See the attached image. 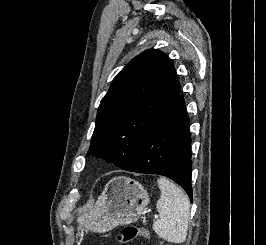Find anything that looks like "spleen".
Segmentation results:
<instances>
[{
    "label": "spleen",
    "instance_id": "spleen-1",
    "mask_svg": "<svg viewBox=\"0 0 266 245\" xmlns=\"http://www.w3.org/2000/svg\"><path fill=\"white\" fill-rule=\"evenodd\" d=\"M157 183L161 191L160 199L156 203L159 215L152 229L160 239L168 243H184L190 219L189 199L182 189L166 177H160Z\"/></svg>",
    "mask_w": 266,
    "mask_h": 245
}]
</instances>
